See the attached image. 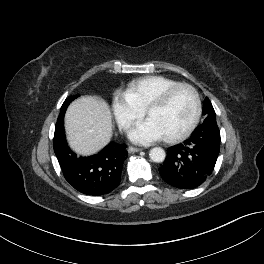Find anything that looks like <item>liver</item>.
Wrapping results in <instances>:
<instances>
[{
    "mask_svg": "<svg viewBox=\"0 0 264 264\" xmlns=\"http://www.w3.org/2000/svg\"><path fill=\"white\" fill-rule=\"evenodd\" d=\"M112 116L108 104L96 97L73 101L65 114V130L70 147L82 155H90L112 137Z\"/></svg>",
    "mask_w": 264,
    "mask_h": 264,
    "instance_id": "liver-1",
    "label": "liver"
}]
</instances>
